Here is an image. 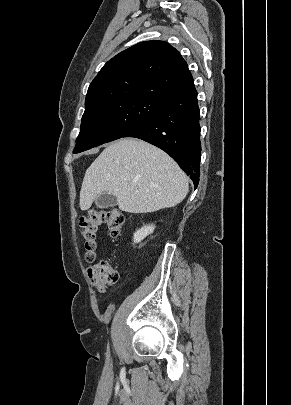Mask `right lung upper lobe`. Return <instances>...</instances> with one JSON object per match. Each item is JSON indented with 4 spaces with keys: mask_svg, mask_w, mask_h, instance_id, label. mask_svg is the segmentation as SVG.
Returning <instances> with one entry per match:
<instances>
[{
    "mask_svg": "<svg viewBox=\"0 0 291 405\" xmlns=\"http://www.w3.org/2000/svg\"><path fill=\"white\" fill-rule=\"evenodd\" d=\"M194 86L180 53L164 41L138 43L109 60L91 82L85 108L125 98L165 102Z\"/></svg>",
    "mask_w": 291,
    "mask_h": 405,
    "instance_id": "1",
    "label": "right lung upper lobe"
}]
</instances>
